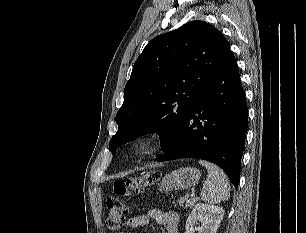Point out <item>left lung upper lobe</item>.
Masks as SVG:
<instances>
[{
	"label": "left lung upper lobe",
	"mask_w": 306,
	"mask_h": 233,
	"mask_svg": "<svg viewBox=\"0 0 306 233\" xmlns=\"http://www.w3.org/2000/svg\"><path fill=\"white\" fill-rule=\"evenodd\" d=\"M231 52L223 34L204 21H191L152 39L136 60L116 115L120 145L158 132L163 149Z\"/></svg>",
	"instance_id": "1"
}]
</instances>
